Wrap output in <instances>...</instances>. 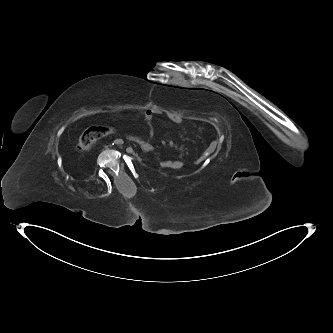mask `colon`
<instances>
[{"label":"colon","instance_id":"1","mask_svg":"<svg viewBox=\"0 0 333 333\" xmlns=\"http://www.w3.org/2000/svg\"><path fill=\"white\" fill-rule=\"evenodd\" d=\"M113 128L109 126H92L85 130L79 138L78 148L82 151L89 150L99 139L111 134ZM160 166L164 169H171L174 166V163L171 159H166L160 161Z\"/></svg>","mask_w":333,"mask_h":333}]
</instances>
